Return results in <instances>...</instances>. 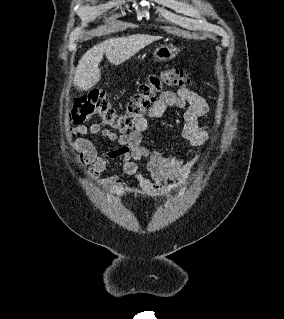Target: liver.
<instances>
[{
  "label": "liver",
  "instance_id": "6515ba94",
  "mask_svg": "<svg viewBox=\"0 0 284 319\" xmlns=\"http://www.w3.org/2000/svg\"><path fill=\"white\" fill-rule=\"evenodd\" d=\"M159 39H161L160 36L134 34L110 38L95 45L80 59L74 76V86L78 90L86 91L97 84L101 78L99 64L104 54L111 64L120 65L142 48Z\"/></svg>",
  "mask_w": 284,
  "mask_h": 319
}]
</instances>
